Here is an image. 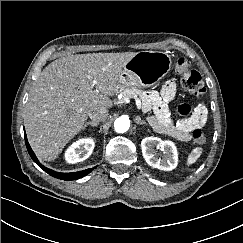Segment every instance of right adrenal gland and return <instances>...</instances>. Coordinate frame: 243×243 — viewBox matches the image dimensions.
<instances>
[{
  "mask_svg": "<svg viewBox=\"0 0 243 243\" xmlns=\"http://www.w3.org/2000/svg\"><path fill=\"white\" fill-rule=\"evenodd\" d=\"M98 124H99L98 122H95V121H89V122H87V123L84 125L83 130H85L86 127H87L88 125H91L92 127H95V126H97Z\"/></svg>",
  "mask_w": 243,
  "mask_h": 243,
  "instance_id": "obj_1",
  "label": "right adrenal gland"
}]
</instances>
